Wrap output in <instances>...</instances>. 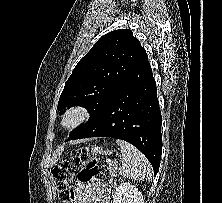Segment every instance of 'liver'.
<instances>
[{
  "instance_id": "6515ba94",
  "label": "liver",
  "mask_w": 222,
  "mask_h": 203,
  "mask_svg": "<svg viewBox=\"0 0 222 203\" xmlns=\"http://www.w3.org/2000/svg\"><path fill=\"white\" fill-rule=\"evenodd\" d=\"M62 151H63V147H61L59 150L56 151V154H55L54 159H53V163H55L58 160V158L62 154Z\"/></svg>"
}]
</instances>
